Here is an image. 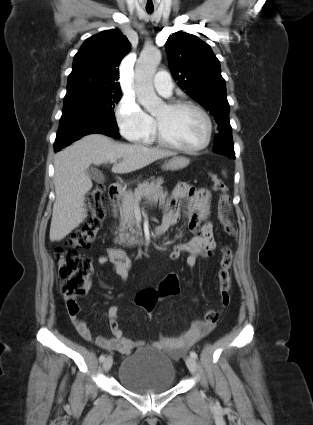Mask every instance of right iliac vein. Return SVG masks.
<instances>
[{
    "instance_id": "63e3f726",
    "label": "right iliac vein",
    "mask_w": 313,
    "mask_h": 425,
    "mask_svg": "<svg viewBox=\"0 0 313 425\" xmlns=\"http://www.w3.org/2000/svg\"><path fill=\"white\" fill-rule=\"evenodd\" d=\"M112 363H113L112 357L110 355L107 356L103 361V370L105 372H108L112 367Z\"/></svg>"
}]
</instances>
